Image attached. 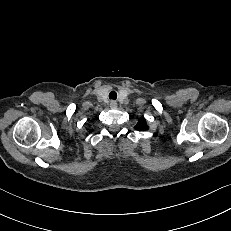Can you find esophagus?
Masks as SVG:
<instances>
[{"label": "esophagus", "mask_w": 231, "mask_h": 231, "mask_svg": "<svg viewBox=\"0 0 231 231\" xmlns=\"http://www.w3.org/2000/svg\"><path fill=\"white\" fill-rule=\"evenodd\" d=\"M109 106H110V108L114 109V108H116V107H117V102H116V101H114V100H112V101H110Z\"/></svg>", "instance_id": "obj_1"}]
</instances>
